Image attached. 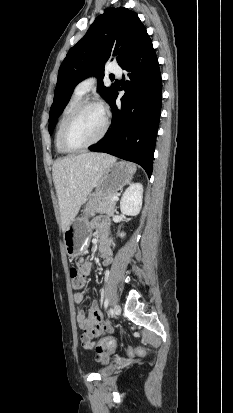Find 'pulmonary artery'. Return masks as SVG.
<instances>
[{
  "mask_svg": "<svg viewBox=\"0 0 233 413\" xmlns=\"http://www.w3.org/2000/svg\"><path fill=\"white\" fill-rule=\"evenodd\" d=\"M109 72L120 75L121 74V69L116 66V65H112L109 68ZM96 79L95 77H88L86 79H84L83 81H81L75 88V93L84 96L85 94H87L95 85Z\"/></svg>",
  "mask_w": 233,
  "mask_h": 413,
  "instance_id": "pulmonary-artery-1",
  "label": "pulmonary artery"
}]
</instances>
